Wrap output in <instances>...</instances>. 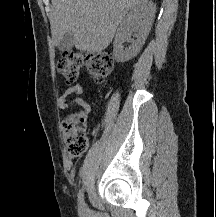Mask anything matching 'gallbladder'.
<instances>
[{"label":"gallbladder","mask_w":216,"mask_h":217,"mask_svg":"<svg viewBox=\"0 0 216 217\" xmlns=\"http://www.w3.org/2000/svg\"><path fill=\"white\" fill-rule=\"evenodd\" d=\"M74 46V39L72 34H65L63 39L58 44V49L60 51H69Z\"/></svg>","instance_id":"gallbladder-1"}]
</instances>
